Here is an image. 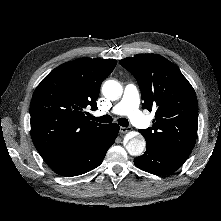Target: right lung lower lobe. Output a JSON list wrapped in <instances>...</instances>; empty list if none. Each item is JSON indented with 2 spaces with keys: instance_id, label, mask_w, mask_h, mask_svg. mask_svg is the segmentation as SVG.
<instances>
[{
  "instance_id": "1",
  "label": "right lung lower lobe",
  "mask_w": 221,
  "mask_h": 221,
  "mask_svg": "<svg viewBox=\"0 0 221 221\" xmlns=\"http://www.w3.org/2000/svg\"><path fill=\"white\" fill-rule=\"evenodd\" d=\"M118 132V124H108L89 148L48 165L61 176L72 177L87 173L102 163L107 150L114 144Z\"/></svg>"
}]
</instances>
